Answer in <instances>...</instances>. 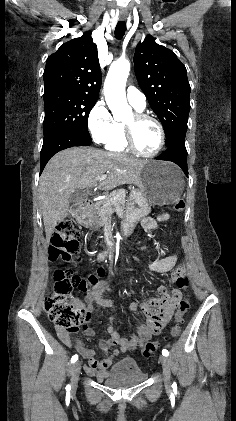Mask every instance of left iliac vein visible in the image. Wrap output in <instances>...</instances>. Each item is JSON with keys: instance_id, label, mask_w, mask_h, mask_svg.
Masks as SVG:
<instances>
[{"instance_id": "1", "label": "left iliac vein", "mask_w": 236, "mask_h": 421, "mask_svg": "<svg viewBox=\"0 0 236 421\" xmlns=\"http://www.w3.org/2000/svg\"><path fill=\"white\" fill-rule=\"evenodd\" d=\"M159 361L161 362L163 367L164 380L166 382V385H168L170 382V360L167 357L161 355L159 356Z\"/></svg>"}]
</instances>
